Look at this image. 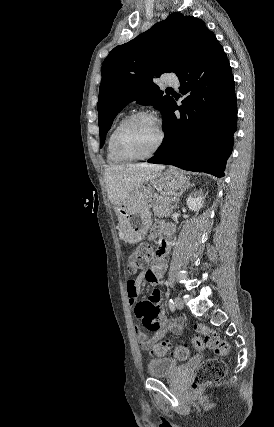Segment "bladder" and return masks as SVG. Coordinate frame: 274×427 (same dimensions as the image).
I'll use <instances>...</instances> for the list:
<instances>
[{"mask_svg":"<svg viewBox=\"0 0 274 427\" xmlns=\"http://www.w3.org/2000/svg\"><path fill=\"white\" fill-rule=\"evenodd\" d=\"M179 364L170 357L153 358L148 361L146 371L150 378L166 377L176 374Z\"/></svg>","mask_w":274,"mask_h":427,"instance_id":"obj_1","label":"bladder"}]
</instances>
